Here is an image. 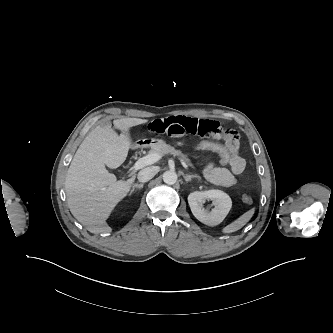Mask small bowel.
Segmentation results:
<instances>
[{"label":"small bowel","mask_w":333,"mask_h":333,"mask_svg":"<svg viewBox=\"0 0 333 333\" xmlns=\"http://www.w3.org/2000/svg\"><path fill=\"white\" fill-rule=\"evenodd\" d=\"M147 130L174 138L190 135L211 138L213 141L221 143L230 154V162L221 167L215 166L213 163L205 166L204 176L213 184L224 187L234 186L237 184V177L245 169V160L239 155V138L236 131L221 126L216 120L167 116L149 122Z\"/></svg>","instance_id":"c3829d8e"}]
</instances>
